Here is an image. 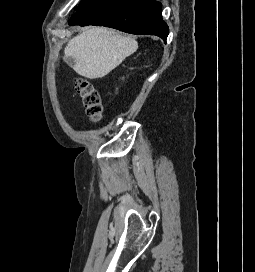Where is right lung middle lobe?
Instances as JSON below:
<instances>
[{"label": "right lung middle lobe", "mask_w": 255, "mask_h": 272, "mask_svg": "<svg viewBox=\"0 0 255 272\" xmlns=\"http://www.w3.org/2000/svg\"><path fill=\"white\" fill-rule=\"evenodd\" d=\"M91 0H82L78 7L75 8L76 11H78L84 4L88 3Z\"/></svg>", "instance_id": "1"}]
</instances>
